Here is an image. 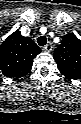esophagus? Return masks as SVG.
Listing matches in <instances>:
<instances>
[{
  "mask_svg": "<svg viewBox=\"0 0 81 124\" xmlns=\"http://www.w3.org/2000/svg\"><path fill=\"white\" fill-rule=\"evenodd\" d=\"M42 49H43L44 51H46V52H50V51H52L53 46H52L51 43H47Z\"/></svg>",
  "mask_w": 81,
  "mask_h": 124,
  "instance_id": "34e87169",
  "label": "esophagus"
}]
</instances>
